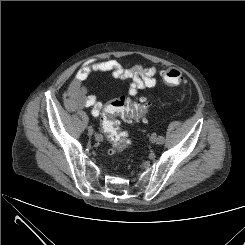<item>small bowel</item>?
<instances>
[{
  "label": "small bowel",
  "mask_w": 245,
  "mask_h": 245,
  "mask_svg": "<svg viewBox=\"0 0 245 245\" xmlns=\"http://www.w3.org/2000/svg\"><path fill=\"white\" fill-rule=\"evenodd\" d=\"M93 73H108L115 79L130 81L128 93L131 96H135L145 89L154 88L158 83L157 68L154 66L126 67L116 60H91L77 70L63 96L67 110L76 111L91 108L93 116L97 117L100 114L103 103L94 94L88 93L85 84Z\"/></svg>",
  "instance_id": "1"
}]
</instances>
